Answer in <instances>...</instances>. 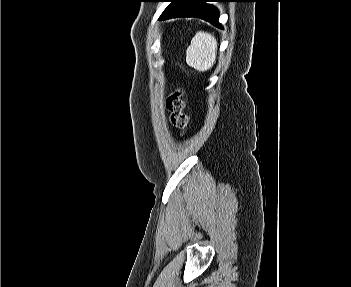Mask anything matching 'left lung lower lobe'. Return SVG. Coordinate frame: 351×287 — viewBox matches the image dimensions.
<instances>
[{
    "label": "left lung lower lobe",
    "instance_id": "left-lung-lower-lobe-1",
    "mask_svg": "<svg viewBox=\"0 0 351 287\" xmlns=\"http://www.w3.org/2000/svg\"><path fill=\"white\" fill-rule=\"evenodd\" d=\"M209 1L219 0H172L171 4L161 14L160 20L177 17H197L221 28L218 22L219 12L214 6L206 3Z\"/></svg>",
    "mask_w": 351,
    "mask_h": 287
}]
</instances>
